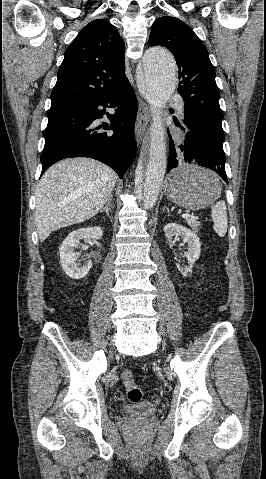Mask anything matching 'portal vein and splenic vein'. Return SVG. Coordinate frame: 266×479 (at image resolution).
<instances>
[{
	"instance_id": "obj_1",
	"label": "portal vein and splenic vein",
	"mask_w": 266,
	"mask_h": 479,
	"mask_svg": "<svg viewBox=\"0 0 266 479\" xmlns=\"http://www.w3.org/2000/svg\"><path fill=\"white\" fill-rule=\"evenodd\" d=\"M182 218H184V219L190 218V214L189 213H184L182 215Z\"/></svg>"
}]
</instances>
